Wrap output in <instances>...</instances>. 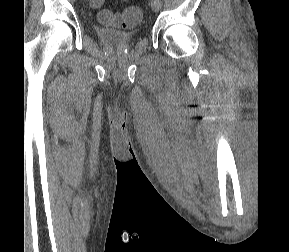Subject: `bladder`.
<instances>
[{
  "label": "bladder",
  "instance_id": "obj_1",
  "mask_svg": "<svg viewBox=\"0 0 289 252\" xmlns=\"http://www.w3.org/2000/svg\"><path fill=\"white\" fill-rule=\"evenodd\" d=\"M99 39L109 46H123L131 43L137 36L136 31H120L112 28L95 27Z\"/></svg>",
  "mask_w": 289,
  "mask_h": 252
}]
</instances>
